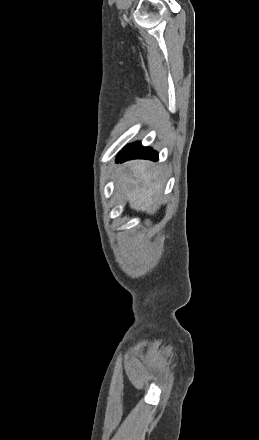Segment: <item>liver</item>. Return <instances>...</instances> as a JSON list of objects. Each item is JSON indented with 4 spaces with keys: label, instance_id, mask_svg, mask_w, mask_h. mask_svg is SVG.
I'll return each mask as SVG.
<instances>
[{
    "label": "liver",
    "instance_id": "1",
    "mask_svg": "<svg viewBox=\"0 0 259 440\" xmlns=\"http://www.w3.org/2000/svg\"><path fill=\"white\" fill-rule=\"evenodd\" d=\"M117 185L125 193L130 207L136 211L154 214L162 202L160 171L150 161L139 160L120 166Z\"/></svg>",
    "mask_w": 259,
    "mask_h": 440
}]
</instances>
